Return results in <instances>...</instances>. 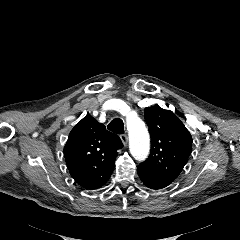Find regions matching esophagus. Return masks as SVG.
Wrapping results in <instances>:
<instances>
[{"label": "esophagus", "mask_w": 240, "mask_h": 240, "mask_svg": "<svg viewBox=\"0 0 240 240\" xmlns=\"http://www.w3.org/2000/svg\"><path fill=\"white\" fill-rule=\"evenodd\" d=\"M120 138H121L122 143H123L124 145H126L127 142H128V136H127V134H122V135L120 136Z\"/></svg>", "instance_id": "1"}]
</instances>
